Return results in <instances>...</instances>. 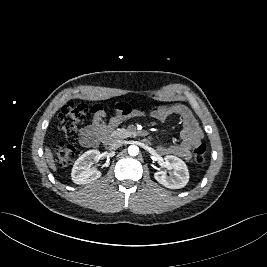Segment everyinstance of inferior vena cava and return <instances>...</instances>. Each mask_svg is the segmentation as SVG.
<instances>
[{
    "instance_id": "inferior-vena-cava-1",
    "label": "inferior vena cava",
    "mask_w": 267,
    "mask_h": 267,
    "mask_svg": "<svg viewBox=\"0 0 267 267\" xmlns=\"http://www.w3.org/2000/svg\"><path fill=\"white\" fill-rule=\"evenodd\" d=\"M123 145V140L113 139L109 143L110 150H116Z\"/></svg>"
}]
</instances>
